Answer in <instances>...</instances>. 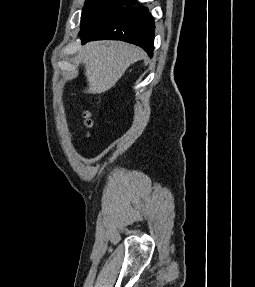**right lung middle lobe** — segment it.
Masks as SVG:
<instances>
[{"mask_svg": "<svg viewBox=\"0 0 255 287\" xmlns=\"http://www.w3.org/2000/svg\"><path fill=\"white\" fill-rule=\"evenodd\" d=\"M135 0H86L81 15V31L85 32L95 24L111 16Z\"/></svg>", "mask_w": 255, "mask_h": 287, "instance_id": "1", "label": "right lung middle lobe"}]
</instances>
